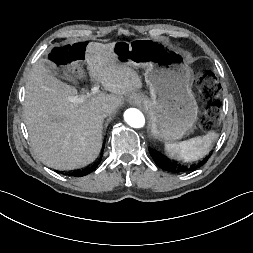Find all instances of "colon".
<instances>
[{"label":"colon","mask_w":253,"mask_h":253,"mask_svg":"<svg viewBox=\"0 0 253 253\" xmlns=\"http://www.w3.org/2000/svg\"><path fill=\"white\" fill-rule=\"evenodd\" d=\"M85 44L77 42L57 47L52 51V59L60 65H67L83 60ZM197 85L201 96L208 101L204 116L200 121V127L204 131L214 129L220 114V106L217 101L219 95V83L210 72H203L198 76Z\"/></svg>","instance_id":"1"}]
</instances>
